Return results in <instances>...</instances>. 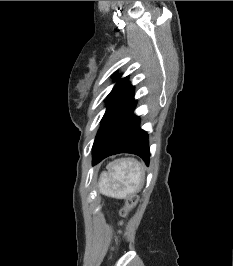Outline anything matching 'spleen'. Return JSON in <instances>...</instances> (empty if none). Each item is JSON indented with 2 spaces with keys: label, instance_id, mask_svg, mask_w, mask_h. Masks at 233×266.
I'll use <instances>...</instances> for the list:
<instances>
[{
  "label": "spleen",
  "instance_id": "3e777b00",
  "mask_svg": "<svg viewBox=\"0 0 233 266\" xmlns=\"http://www.w3.org/2000/svg\"><path fill=\"white\" fill-rule=\"evenodd\" d=\"M100 175L99 191L114 198H126L141 190L145 175L135 159H117Z\"/></svg>",
  "mask_w": 233,
  "mask_h": 266
}]
</instances>
